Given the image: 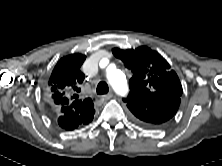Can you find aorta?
Returning <instances> with one entry per match:
<instances>
[{"instance_id": "aorta-1", "label": "aorta", "mask_w": 222, "mask_h": 166, "mask_svg": "<svg viewBox=\"0 0 222 166\" xmlns=\"http://www.w3.org/2000/svg\"><path fill=\"white\" fill-rule=\"evenodd\" d=\"M107 79L116 93L122 96L126 95L128 92V85L122 71L109 67L107 69Z\"/></svg>"}]
</instances>
